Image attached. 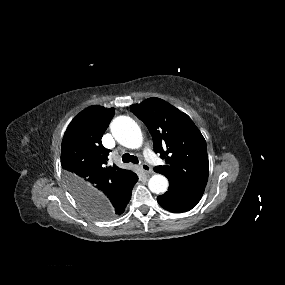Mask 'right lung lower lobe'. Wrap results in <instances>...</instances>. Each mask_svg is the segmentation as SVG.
<instances>
[{
    "label": "right lung lower lobe",
    "mask_w": 285,
    "mask_h": 285,
    "mask_svg": "<svg viewBox=\"0 0 285 285\" xmlns=\"http://www.w3.org/2000/svg\"><path fill=\"white\" fill-rule=\"evenodd\" d=\"M138 181L136 174L120 189L109 194L107 197H99L89 202V206L95 208H107L114 215H121L131 198L132 189Z\"/></svg>",
    "instance_id": "obj_1"
}]
</instances>
